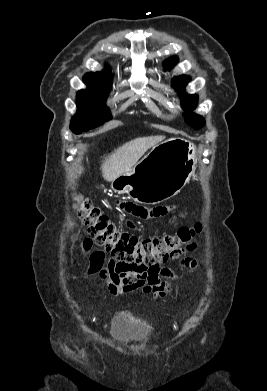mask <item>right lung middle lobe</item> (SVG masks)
Instances as JSON below:
<instances>
[{
    "label": "right lung middle lobe",
    "mask_w": 267,
    "mask_h": 391,
    "mask_svg": "<svg viewBox=\"0 0 267 391\" xmlns=\"http://www.w3.org/2000/svg\"><path fill=\"white\" fill-rule=\"evenodd\" d=\"M106 97L107 94L88 88L77 93V113L70 123V129L75 134L95 128L111 119L105 106Z\"/></svg>",
    "instance_id": "dd1d6c3e"
}]
</instances>
